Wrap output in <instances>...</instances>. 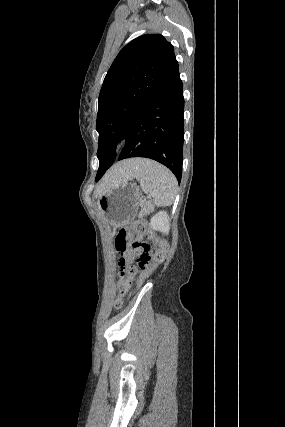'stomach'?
Instances as JSON below:
<instances>
[{
	"mask_svg": "<svg viewBox=\"0 0 285 427\" xmlns=\"http://www.w3.org/2000/svg\"><path fill=\"white\" fill-rule=\"evenodd\" d=\"M138 205V188L127 181L112 186L97 201L101 216L113 227L130 223L136 217Z\"/></svg>",
	"mask_w": 285,
	"mask_h": 427,
	"instance_id": "1",
	"label": "stomach"
}]
</instances>
